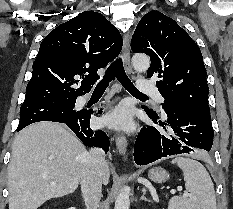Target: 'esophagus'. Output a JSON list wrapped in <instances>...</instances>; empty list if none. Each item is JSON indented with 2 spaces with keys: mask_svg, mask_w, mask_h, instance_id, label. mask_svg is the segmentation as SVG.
Segmentation results:
<instances>
[{
  "mask_svg": "<svg viewBox=\"0 0 233 209\" xmlns=\"http://www.w3.org/2000/svg\"><path fill=\"white\" fill-rule=\"evenodd\" d=\"M122 58L124 62V67L127 73H132V67L130 64V45H129V37L124 36L123 40V49H122ZM115 142L117 149L121 155H124L127 149V139L124 135H117L115 137Z\"/></svg>",
  "mask_w": 233,
  "mask_h": 209,
  "instance_id": "1",
  "label": "esophagus"
}]
</instances>
